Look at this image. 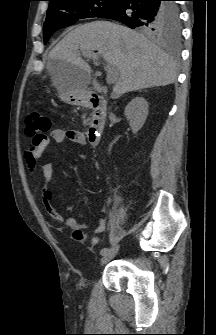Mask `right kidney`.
<instances>
[{"label": "right kidney", "instance_id": "ca27d5eb", "mask_svg": "<svg viewBox=\"0 0 216 335\" xmlns=\"http://www.w3.org/2000/svg\"><path fill=\"white\" fill-rule=\"evenodd\" d=\"M124 114L129 120L133 133H137L144 125L148 115V102L143 97H135L125 107Z\"/></svg>", "mask_w": 216, "mask_h": 335}]
</instances>
